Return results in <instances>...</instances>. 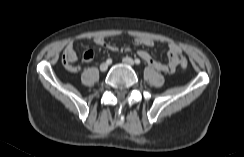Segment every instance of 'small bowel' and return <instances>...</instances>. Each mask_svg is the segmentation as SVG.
I'll return each mask as SVG.
<instances>
[{
	"label": "small bowel",
	"mask_w": 244,
	"mask_h": 157,
	"mask_svg": "<svg viewBox=\"0 0 244 157\" xmlns=\"http://www.w3.org/2000/svg\"><path fill=\"white\" fill-rule=\"evenodd\" d=\"M92 41L96 45L105 47L106 49L111 50V51H120V52H129L130 51V48L127 46L118 47V46H115L112 44H108L105 42V40L102 37H95L92 39ZM133 42L137 46H147V47H152L155 44L152 39L145 38V37L135 38ZM74 48H75V42H69L67 44V46L65 47L64 52L75 53ZM138 56L151 68H154V69L164 72V73L175 72L182 59L181 49L175 43H170L168 45L167 63H162V62L155 60L147 51H144V50H140L138 52ZM93 57H94V52L92 50H87L83 54V59L87 63L91 62L93 60Z\"/></svg>",
	"instance_id": "small-bowel-1"
}]
</instances>
